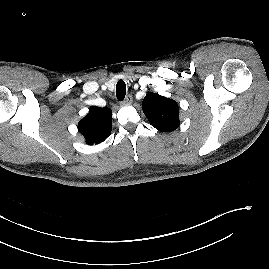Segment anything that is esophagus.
<instances>
[{
  "label": "esophagus",
  "instance_id": "esophagus-1",
  "mask_svg": "<svg viewBox=\"0 0 269 269\" xmlns=\"http://www.w3.org/2000/svg\"><path fill=\"white\" fill-rule=\"evenodd\" d=\"M132 96L131 95H127L126 97H125V99L122 101V104L123 105H128V104H130L131 102H132Z\"/></svg>",
  "mask_w": 269,
  "mask_h": 269
}]
</instances>
